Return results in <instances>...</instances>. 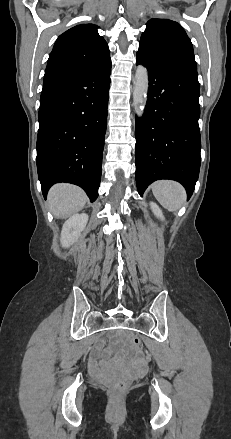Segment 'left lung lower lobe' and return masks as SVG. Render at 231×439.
<instances>
[{"label":"left lung lower lobe","mask_w":231,"mask_h":439,"mask_svg":"<svg viewBox=\"0 0 231 439\" xmlns=\"http://www.w3.org/2000/svg\"><path fill=\"white\" fill-rule=\"evenodd\" d=\"M149 72L148 100L136 119V182L142 196L156 180L180 182L192 195L200 169L201 140L197 71L165 66L136 54Z\"/></svg>","instance_id":"1"}]
</instances>
